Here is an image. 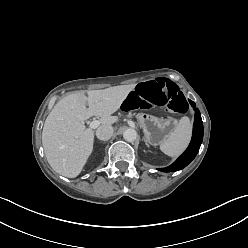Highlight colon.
<instances>
[{
  "label": "colon",
  "instance_id": "5ec220e1",
  "mask_svg": "<svg viewBox=\"0 0 248 248\" xmlns=\"http://www.w3.org/2000/svg\"><path fill=\"white\" fill-rule=\"evenodd\" d=\"M122 107L126 111L166 107L177 114L187 110L185 98L179 88L164 79L138 85L137 89L123 100Z\"/></svg>",
  "mask_w": 248,
  "mask_h": 248
}]
</instances>
